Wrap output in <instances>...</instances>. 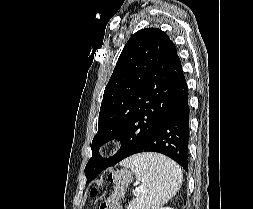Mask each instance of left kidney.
<instances>
[{"instance_id":"5707ae66","label":"left kidney","mask_w":253,"mask_h":209,"mask_svg":"<svg viewBox=\"0 0 253 209\" xmlns=\"http://www.w3.org/2000/svg\"><path fill=\"white\" fill-rule=\"evenodd\" d=\"M154 209H173V208H170V207H163V208H154Z\"/></svg>"}]
</instances>
